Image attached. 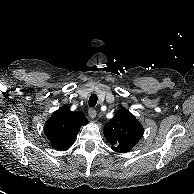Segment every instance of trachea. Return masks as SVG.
I'll list each match as a JSON object with an SVG mask.
<instances>
[{"mask_svg":"<svg viewBox=\"0 0 194 194\" xmlns=\"http://www.w3.org/2000/svg\"><path fill=\"white\" fill-rule=\"evenodd\" d=\"M98 97L96 94H92L89 98L88 104L90 107H94L97 104Z\"/></svg>","mask_w":194,"mask_h":194,"instance_id":"trachea-1","label":"trachea"}]
</instances>
